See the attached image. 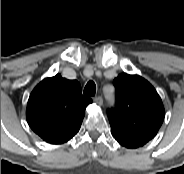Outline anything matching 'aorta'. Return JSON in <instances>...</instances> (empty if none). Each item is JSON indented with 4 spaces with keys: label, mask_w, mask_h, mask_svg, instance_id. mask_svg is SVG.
Instances as JSON below:
<instances>
[{
    "label": "aorta",
    "mask_w": 184,
    "mask_h": 174,
    "mask_svg": "<svg viewBox=\"0 0 184 174\" xmlns=\"http://www.w3.org/2000/svg\"><path fill=\"white\" fill-rule=\"evenodd\" d=\"M111 97V99L113 98V94L110 96Z\"/></svg>",
    "instance_id": "1"
}]
</instances>
